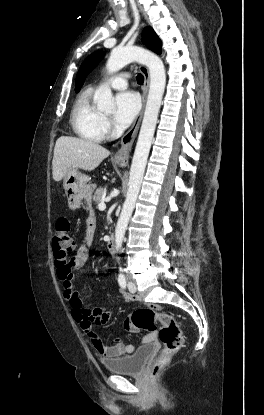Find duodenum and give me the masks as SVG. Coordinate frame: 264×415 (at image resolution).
Returning a JSON list of instances; mask_svg holds the SVG:
<instances>
[{
    "mask_svg": "<svg viewBox=\"0 0 264 415\" xmlns=\"http://www.w3.org/2000/svg\"><path fill=\"white\" fill-rule=\"evenodd\" d=\"M91 224H92V226H95V220H94V218L91 220ZM106 247H107L108 251L111 254H114L115 253L116 245H115V238H114V236H109L106 239Z\"/></svg>",
    "mask_w": 264,
    "mask_h": 415,
    "instance_id": "410a0bca",
    "label": "duodenum"
}]
</instances>
